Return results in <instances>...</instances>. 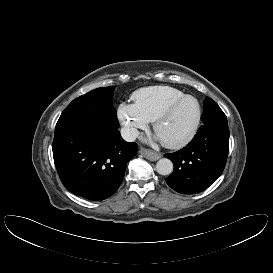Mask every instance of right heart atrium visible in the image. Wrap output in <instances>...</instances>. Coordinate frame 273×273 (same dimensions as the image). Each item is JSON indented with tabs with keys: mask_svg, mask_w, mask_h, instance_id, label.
<instances>
[{
	"mask_svg": "<svg viewBox=\"0 0 273 273\" xmlns=\"http://www.w3.org/2000/svg\"><path fill=\"white\" fill-rule=\"evenodd\" d=\"M117 117L123 126L124 135L128 139L138 136L140 130L147 128L149 121L133 104L121 103L117 108Z\"/></svg>",
	"mask_w": 273,
	"mask_h": 273,
	"instance_id": "d8ad5b80",
	"label": "right heart atrium"
}]
</instances>
